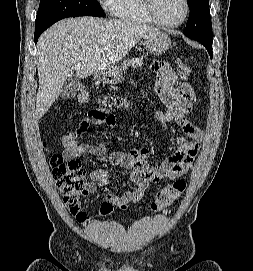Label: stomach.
<instances>
[{"label":"stomach","instance_id":"0dacf381","mask_svg":"<svg viewBox=\"0 0 253 271\" xmlns=\"http://www.w3.org/2000/svg\"><path fill=\"white\" fill-rule=\"evenodd\" d=\"M145 49L153 55H162L171 46L169 36L161 31H153L144 36ZM99 81L108 84H115L122 78V70L119 66H112L105 71L96 74Z\"/></svg>","mask_w":253,"mask_h":271}]
</instances>
